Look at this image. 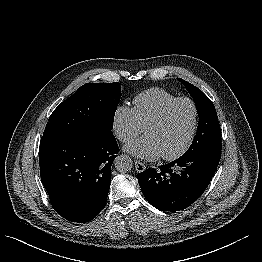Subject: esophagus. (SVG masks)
Masks as SVG:
<instances>
[{
	"mask_svg": "<svg viewBox=\"0 0 262 262\" xmlns=\"http://www.w3.org/2000/svg\"><path fill=\"white\" fill-rule=\"evenodd\" d=\"M134 163L137 172H143L146 169L145 164H143L142 162L135 160Z\"/></svg>",
	"mask_w": 262,
	"mask_h": 262,
	"instance_id": "esophagus-1",
	"label": "esophagus"
}]
</instances>
